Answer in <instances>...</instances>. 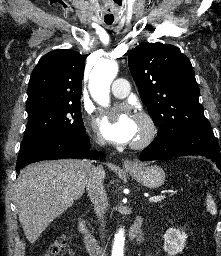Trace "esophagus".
Listing matches in <instances>:
<instances>
[{
	"instance_id": "obj_1",
	"label": "esophagus",
	"mask_w": 221,
	"mask_h": 256,
	"mask_svg": "<svg viewBox=\"0 0 221 256\" xmlns=\"http://www.w3.org/2000/svg\"><path fill=\"white\" fill-rule=\"evenodd\" d=\"M123 166L130 168V167H135L136 164H135V162H133L132 160L126 159V160H124V162H123Z\"/></svg>"
}]
</instances>
